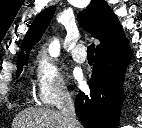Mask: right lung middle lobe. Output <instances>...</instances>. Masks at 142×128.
Here are the masks:
<instances>
[{
	"instance_id": "obj_1",
	"label": "right lung middle lobe",
	"mask_w": 142,
	"mask_h": 128,
	"mask_svg": "<svg viewBox=\"0 0 142 128\" xmlns=\"http://www.w3.org/2000/svg\"><path fill=\"white\" fill-rule=\"evenodd\" d=\"M25 64H27V60L17 63V75L21 73Z\"/></svg>"
}]
</instances>
